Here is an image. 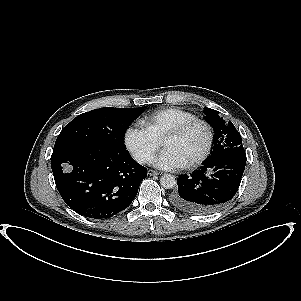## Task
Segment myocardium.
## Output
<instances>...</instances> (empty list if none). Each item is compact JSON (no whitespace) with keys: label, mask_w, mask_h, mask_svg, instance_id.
Instances as JSON below:
<instances>
[{"label":"myocardium","mask_w":301,"mask_h":301,"mask_svg":"<svg viewBox=\"0 0 301 301\" xmlns=\"http://www.w3.org/2000/svg\"><path fill=\"white\" fill-rule=\"evenodd\" d=\"M195 124H199L204 128L206 134V142L202 151L196 157H194L193 159L187 162L188 167H192L200 164L209 155L213 143V133H212L211 126L202 119L193 118L170 129L164 134L162 138V146L164 147V143L167 139L182 134L186 129H188L189 127Z\"/></svg>","instance_id":"f54148a6"}]
</instances>
